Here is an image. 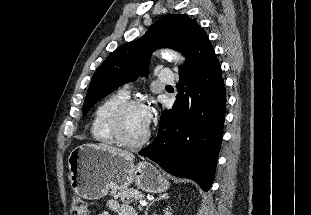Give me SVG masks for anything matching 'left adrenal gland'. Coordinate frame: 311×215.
<instances>
[{
    "instance_id": "obj_1",
    "label": "left adrenal gland",
    "mask_w": 311,
    "mask_h": 215,
    "mask_svg": "<svg viewBox=\"0 0 311 215\" xmlns=\"http://www.w3.org/2000/svg\"><path fill=\"white\" fill-rule=\"evenodd\" d=\"M168 194L167 193H164V194H161L158 198H156L155 200H153L147 207H146V210H145V215L148 214V210L150 208V206H152L156 201H159V200H162V199H168Z\"/></svg>"
}]
</instances>
